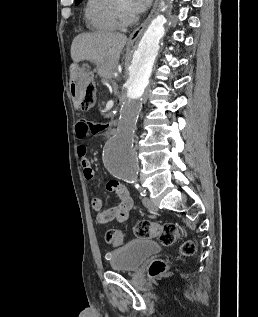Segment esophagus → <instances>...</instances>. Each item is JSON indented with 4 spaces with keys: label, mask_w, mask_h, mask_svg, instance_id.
Returning a JSON list of instances; mask_svg holds the SVG:
<instances>
[{
    "label": "esophagus",
    "mask_w": 258,
    "mask_h": 317,
    "mask_svg": "<svg viewBox=\"0 0 258 317\" xmlns=\"http://www.w3.org/2000/svg\"><path fill=\"white\" fill-rule=\"evenodd\" d=\"M158 2L159 0H155L154 6L151 10V12L149 13L148 17L146 18V20H144L143 23H141V25H139V27H137L129 36L128 40H136L140 37V35L142 34L144 28L147 26V24L150 22L152 16L154 15V12L156 11V8L158 6Z\"/></svg>",
    "instance_id": "1"
}]
</instances>
